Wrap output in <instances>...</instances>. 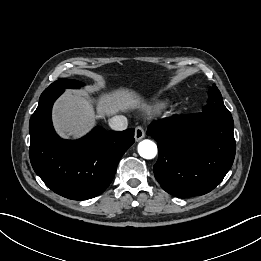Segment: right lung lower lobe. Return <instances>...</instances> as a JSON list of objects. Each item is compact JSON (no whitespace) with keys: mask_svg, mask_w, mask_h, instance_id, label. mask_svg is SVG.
<instances>
[{"mask_svg":"<svg viewBox=\"0 0 261 261\" xmlns=\"http://www.w3.org/2000/svg\"><path fill=\"white\" fill-rule=\"evenodd\" d=\"M64 89L47 88L29 122L30 161L36 174L55 193L86 200L103 193L119 160L135 142L134 129L106 131L94 128L85 137L63 140L54 131L51 110Z\"/></svg>","mask_w":261,"mask_h":261,"instance_id":"1","label":"right lung lower lobe"}]
</instances>
